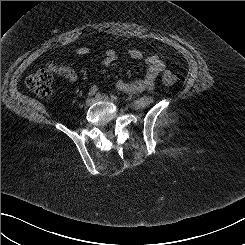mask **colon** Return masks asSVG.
<instances>
[{
	"label": "colon",
	"mask_w": 245,
	"mask_h": 245,
	"mask_svg": "<svg viewBox=\"0 0 245 245\" xmlns=\"http://www.w3.org/2000/svg\"><path fill=\"white\" fill-rule=\"evenodd\" d=\"M161 80L165 86H172L176 76L170 71H165ZM52 81V73L47 69H40L27 77L26 85L36 96L47 99L52 94Z\"/></svg>",
	"instance_id": "obj_1"
}]
</instances>
